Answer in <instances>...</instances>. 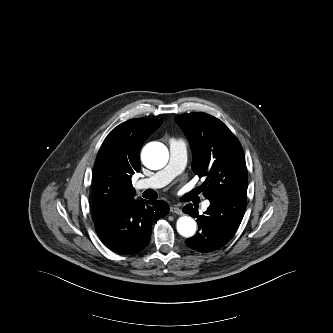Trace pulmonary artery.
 I'll use <instances>...</instances> for the list:
<instances>
[{
    "instance_id": "pulmonary-artery-1",
    "label": "pulmonary artery",
    "mask_w": 333,
    "mask_h": 333,
    "mask_svg": "<svg viewBox=\"0 0 333 333\" xmlns=\"http://www.w3.org/2000/svg\"><path fill=\"white\" fill-rule=\"evenodd\" d=\"M169 149L170 157L166 167L153 176L138 181L137 188L144 189L164 187L183 171L187 157L185 142L181 139H170ZM208 206L209 202H206L204 207L206 208Z\"/></svg>"
}]
</instances>
